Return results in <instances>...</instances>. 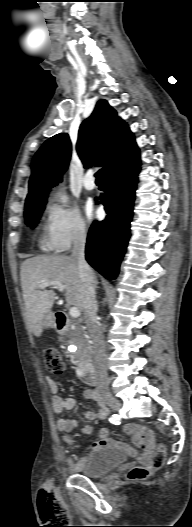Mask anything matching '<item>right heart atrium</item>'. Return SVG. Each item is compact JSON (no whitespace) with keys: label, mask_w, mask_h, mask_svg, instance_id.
<instances>
[{"label":"right heart atrium","mask_w":192,"mask_h":527,"mask_svg":"<svg viewBox=\"0 0 192 527\" xmlns=\"http://www.w3.org/2000/svg\"><path fill=\"white\" fill-rule=\"evenodd\" d=\"M45 218L47 239L52 250L65 251L86 235V225L79 212L62 203H49Z\"/></svg>","instance_id":"obj_1"}]
</instances>
